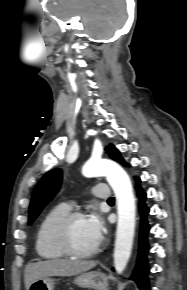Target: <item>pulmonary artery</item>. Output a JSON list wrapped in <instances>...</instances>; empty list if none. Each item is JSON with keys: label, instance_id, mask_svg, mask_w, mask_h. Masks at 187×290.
Returning a JSON list of instances; mask_svg holds the SVG:
<instances>
[{"label": "pulmonary artery", "instance_id": "1", "mask_svg": "<svg viewBox=\"0 0 187 290\" xmlns=\"http://www.w3.org/2000/svg\"><path fill=\"white\" fill-rule=\"evenodd\" d=\"M92 193L95 197L102 200H109L111 197L110 189L104 185H97L93 188Z\"/></svg>", "mask_w": 187, "mask_h": 290}]
</instances>
